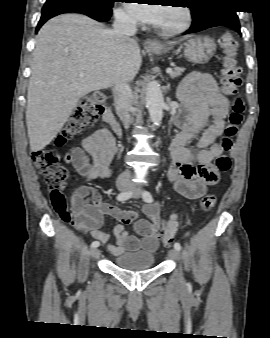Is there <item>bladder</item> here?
<instances>
[{"instance_id":"bladder-1","label":"bladder","mask_w":270,"mask_h":338,"mask_svg":"<svg viewBox=\"0 0 270 338\" xmlns=\"http://www.w3.org/2000/svg\"><path fill=\"white\" fill-rule=\"evenodd\" d=\"M115 266L124 270L140 271L155 265L153 253H121L114 261Z\"/></svg>"}]
</instances>
